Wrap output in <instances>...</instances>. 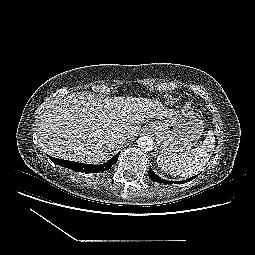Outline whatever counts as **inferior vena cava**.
I'll use <instances>...</instances> for the list:
<instances>
[{"label": "inferior vena cava", "instance_id": "obj_1", "mask_svg": "<svg viewBox=\"0 0 255 255\" xmlns=\"http://www.w3.org/2000/svg\"><path fill=\"white\" fill-rule=\"evenodd\" d=\"M115 138H116V141L121 143V144L125 143L126 140L128 139V137L125 134H117L115 136Z\"/></svg>", "mask_w": 255, "mask_h": 255}]
</instances>
